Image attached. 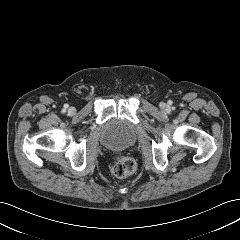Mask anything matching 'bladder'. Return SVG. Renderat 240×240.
I'll return each instance as SVG.
<instances>
[{"instance_id":"obj_1","label":"bladder","mask_w":240,"mask_h":240,"mask_svg":"<svg viewBox=\"0 0 240 240\" xmlns=\"http://www.w3.org/2000/svg\"><path fill=\"white\" fill-rule=\"evenodd\" d=\"M136 134L131 124L122 119H111L102 126L101 143L111 150H123L133 145Z\"/></svg>"}]
</instances>
